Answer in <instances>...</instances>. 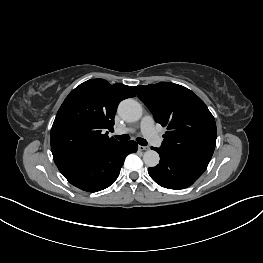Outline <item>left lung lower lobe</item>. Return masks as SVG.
Returning a JSON list of instances; mask_svg holds the SVG:
<instances>
[{"label": "left lung lower lobe", "instance_id": "1", "mask_svg": "<svg viewBox=\"0 0 263 263\" xmlns=\"http://www.w3.org/2000/svg\"><path fill=\"white\" fill-rule=\"evenodd\" d=\"M160 155V163L148 169L150 177L168 189H184L192 185L206 170V164L182 159L159 148L152 147Z\"/></svg>", "mask_w": 263, "mask_h": 263}]
</instances>
